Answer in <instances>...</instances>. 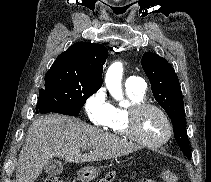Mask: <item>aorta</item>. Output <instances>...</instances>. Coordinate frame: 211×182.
Returning <instances> with one entry per match:
<instances>
[{"label":"aorta","instance_id":"obj_1","mask_svg":"<svg viewBox=\"0 0 211 182\" xmlns=\"http://www.w3.org/2000/svg\"><path fill=\"white\" fill-rule=\"evenodd\" d=\"M122 76H123V67L120 62L113 63L107 70L105 76L106 87L111 94V96L121 103L123 100L122 93Z\"/></svg>","mask_w":211,"mask_h":182}]
</instances>
